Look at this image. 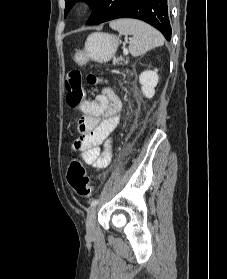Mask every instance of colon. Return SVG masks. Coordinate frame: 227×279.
<instances>
[{
	"instance_id": "5ec220e1",
	"label": "colon",
	"mask_w": 227,
	"mask_h": 279,
	"mask_svg": "<svg viewBox=\"0 0 227 279\" xmlns=\"http://www.w3.org/2000/svg\"><path fill=\"white\" fill-rule=\"evenodd\" d=\"M99 75L90 72L86 77V82L92 90L99 84ZM66 102L71 109L78 108L80 102L85 97L83 89L82 75L79 71H70L66 79ZM67 179L71 187L81 197H90L92 188L89 176L83 164L78 160H73L69 166Z\"/></svg>"
}]
</instances>
